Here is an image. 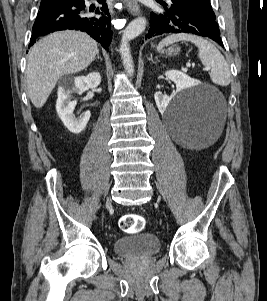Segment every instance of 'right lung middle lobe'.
<instances>
[{
  "mask_svg": "<svg viewBox=\"0 0 267 301\" xmlns=\"http://www.w3.org/2000/svg\"><path fill=\"white\" fill-rule=\"evenodd\" d=\"M55 3H53L52 1L49 0H42L41 5H40V9H44L47 7H50L52 5H54Z\"/></svg>",
  "mask_w": 267,
  "mask_h": 301,
  "instance_id": "dd1d6c3e",
  "label": "right lung middle lobe"
}]
</instances>
